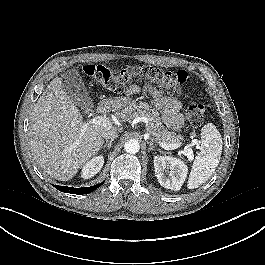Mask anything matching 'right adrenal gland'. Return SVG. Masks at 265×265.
<instances>
[{
    "label": "right adrenal gland",
    "mask_w": 265,
    "mask_h": 265,
    "mask_svg": "<svg viewBox=\"0 0 265 265\" xmlns=\"http://www.w3.org/2000/svg\"><path fill=\"white\" fill-rule=\"evenodd\" d=\"M113 140H107L104 145L103 148L107 147V149L109 150L111 148V144H112Z\"/></svg>",
    "instance_id": "2a0ac1e0"
}]
</instances>
